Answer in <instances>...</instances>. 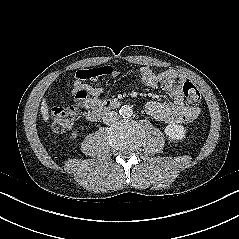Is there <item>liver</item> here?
I'll return each instance as SVG.
<instances>
[{"instance_id":"obj_1","label":"liver","mask_w":239,"mask_h":239,"mask_svg":"<svg viewBox=\"0 0 239 239\" xmlns=\"http://www.w3.org/2000/svg\"><path fill=\"white\" fill-rule=\"evenodd\" d=\"M40 110H41L43 120L47 122L49 120V114H48V105L46 103V100H43Z\"/></svg>"}]
</instances>
